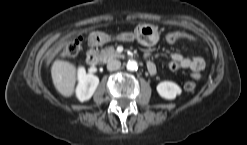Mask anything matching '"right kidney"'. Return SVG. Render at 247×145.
Masks as SVG:
<instances>
[{
	"label": "right kidney",
	"instance_id": "right-kidney-1",
	"mask_svg": "<svg viewBox=\"0 0 247 145\" xmlns=\"http://www.w3.org/2000/svg\"><path fill=\"white\" fill-rule=\"evenodd\" d=\"M77 75L79 83L76 88V96L81 102L88 101L98 87L99 78L93 74H86L83 67L78 69Z\"/></svg>",
	"mask_w": 247,
	"mask_h": 145
}]
</instances>
